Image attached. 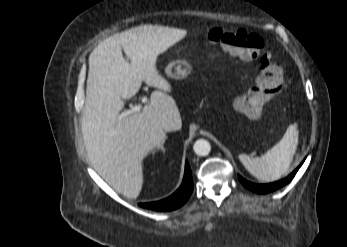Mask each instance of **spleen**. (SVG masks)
Instances as JSON below:
<instances>
[{"mask_svg":"<svg viewBox=\"0 0 347 247\" xmlns=\"http://www.w3.org/2000/svg\"><path fill=\"white\" fill-rule=\"evenodd\" d=\"M298 139V125L294 123L288 126L283 138L262 157L240 154L239 160L257 179L266 182L277 180L288 171L297 150Z\"/></svg>","mask_w":347,"mask_h":247,"instance_id":"1","label":"spleen"}]
</instances>
